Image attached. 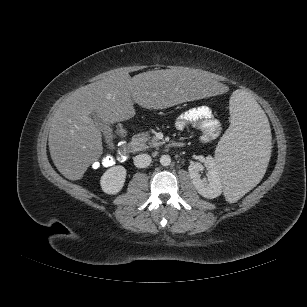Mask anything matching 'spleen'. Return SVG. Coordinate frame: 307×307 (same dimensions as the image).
<instances>
[{
  "instance_id": "obj_1",
  "label": "spleen",
  "mask_w": 307,
  "mask_h": 307,
  "mask_svg": "<svg viewBox=\"0 0 307 307\" xmlns=\"http://www.w3.org/2000/svg\"><path fill=\"white\" fill-rule=\"evenodd\" d=\"M231 124L218 143L215 161L229 203L237 202L269 170L271 140L268 119L247 92L230 98Z\"/></svg>"
}]
</instances>
